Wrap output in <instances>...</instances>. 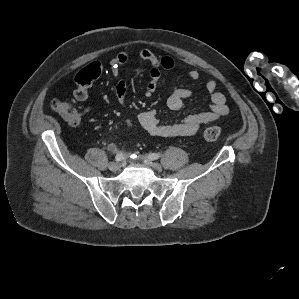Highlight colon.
Wrapping results in <instances>:
<instances>
[{
	"instance_id": "5ec220e1",
	"label": "colon",
	"mask_w": 299,
	"mask_h": 299,
	"mask_svg": "<svg viewBox=\"0 0 299 299\" xmlns=\"http://www.w3.org/2000/svg\"><path fill=\"white\" fill-rule=\"evenodd\" d=\"M52 110L58 114L68 125L77 126L80 122V113L68 101L54 99L51 103ZM222 131L219 127H207L202 131V137L206 141H216L221 137Z\"/></svg>"
}]
</instances>
